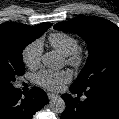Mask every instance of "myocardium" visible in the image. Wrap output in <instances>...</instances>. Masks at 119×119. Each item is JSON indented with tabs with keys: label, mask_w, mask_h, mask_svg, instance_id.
<instances>
[{
	"label": "myocardium",
	"mask_w": 119,
	"mask_h": 119,
	"mask_svg": "<svg viewBox=\"0 0 119 119\" xmlns=\"http://www.w3.org/2000/svg\"><path fill=\"white\" fill-rule=\"evenodd\" d=\"M85 56L80 48L66 56V63L73 68H79L83 65Z\"/></svg>",
	"instance_id": "f54148a6"
}]
</instances>
